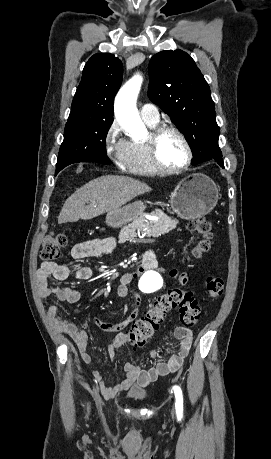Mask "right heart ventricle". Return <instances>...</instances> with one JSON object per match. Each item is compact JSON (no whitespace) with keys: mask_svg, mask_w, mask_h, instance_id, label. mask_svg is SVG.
Listing matches in <instances>:
<instances>
[{"mask_svg":"<svg viewBox=\"0 0 271 459\" xmlns=\"http://www.w3.org/2000/svg\"><path fill=\"white\" fill-rule=\"evenodd\" d=\"M145 122L150 128L157 127V124ZM122 167L125 171L138 175H150L158 172L152 161L147 140H132L129 142Z\"/></svg>","mask_w":271,"mask_h":459,"instance_id":"e07e8e85","label":"right heart ventricle"}]
</instances>
